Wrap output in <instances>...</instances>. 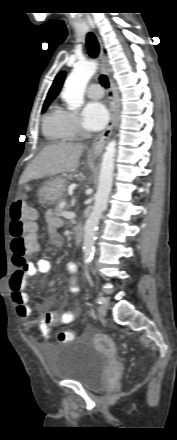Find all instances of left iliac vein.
Segmentation results:
<instances>
[{
	"label": "left iliac vein",
	"mask_w": 177,
	"mask_h": 440,
	"mask_svg": "<svg viewBox=\"0 0 177 440\" xmlns=\"http://www.w3.org/2000/svg\"><path fill=\"white\" fill-rule=\"evenodd\" d=\"M108 305H109V302H108L107 298H105L104 303H102V305L99 307V312L101 314L105 315L107 312Z\"/></svg>",
	"instance_id": "1"
}]
</instances>
